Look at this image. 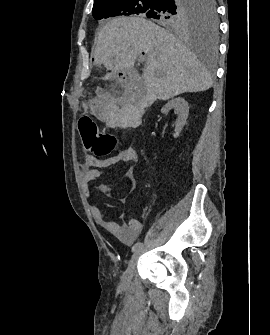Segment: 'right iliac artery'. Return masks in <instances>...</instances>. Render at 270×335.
<instances>
[{"label": "right iliac artery", "instance_id": "1", "mask_svg": "<svg viewBox=\"0 0 270 335\" xmlns=\"http://www.w3.org/2000/svg\"><path fill=\"white\" fill-rule=\"evenodd\" d=\"M141 246H143V243L141 242H137L133 245L132 247V252H135L136 250H138Z\"/></svg>", "mask_w": 270, "mask_h": 335}]
</instances>
